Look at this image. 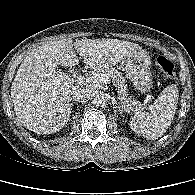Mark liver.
<instances>
[{
	"label": "liver",
	"mask_w": 195,
	"mask_h": 195,
	"mask_svg": "<svg viewBox=\"0 0 195 195\" xmlns=\"http://www.w3.org/2000/svg\"><path fill=\"white\" fill-rule=\"evenodd\" d=\"M76 52L87 68L112 67L142 48L118 39H62L41 45L25 57L11 86L17 120L38 134L61 130L71 113V92L75 80L59 66L78 64Z\"/></svg>",
	"instance_id": "liver-1"
}]
</instances>
